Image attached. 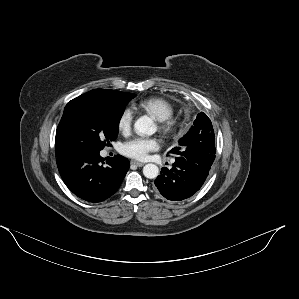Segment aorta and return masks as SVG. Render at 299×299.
I'll use <instances>...</instances> for the list:
<instances>
[{
    "instance_id": "1",
    "label": "aorta",
    "mask_w": 299,
    "mask_h": 299,
    "mask_svg": "<svg viewBox=\"0 0 299 299\" xmlns=\"http://www.w3.org/2000/svg\"><path fill=\"white\" fill-rule=\"evenodd\" d=\"M134 130L138 135L151 136L156 132L157 127L151 118L147 116H141L135 121ZM143 174L146 178L154 179L159 174V168L157 165L152 163L146 164L143 167Z\"/></svg>"
}]
</instances>
